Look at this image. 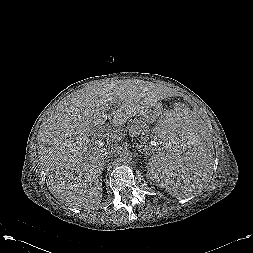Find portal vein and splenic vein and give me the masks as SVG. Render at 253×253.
Returning <instances> with one entry per match:
<instances>
[{
    "label": "portal vein and splenic vein",
    "mask_w": 253,
    "mask_h": 253,
    "mask_svg": "<svg viewBox=\"0 0 253 253\" xmlns=\"http://www.w3.org/2000/svg\"><path fill=\"white\" fill-rule=\"evenodd\" d=\"M103 136H107V137H110V138H118V134L117 133H112L110 131H106V133ZM146 144L144 145L145 149H148L149 147Z\"/></svg>",
    "instance_id": "portal-vein-and-splenic-vein-1"
}]
</instances>
